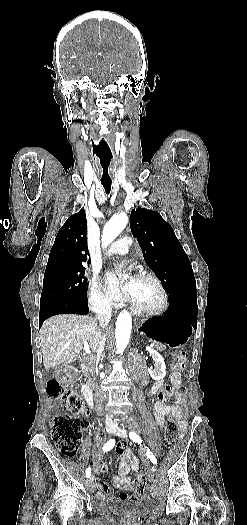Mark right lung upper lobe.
Masks as SVG:
<instances>
[{
	"mask_svg": "<svg viewBox=\"0 0 247 525\" xmlns=\"http://www.w3.org/2000/svg\"><path fill=\"white\" fill-rule=\"evenodd\" d=\"M86 231L87 221L84 210L70 216L58 231L49 254L46 271L83 267V263L89 257Z\"/></svg>",
	"mask_w": 247,
	"mask_h": 525,
	"instance_id": "cb5924a9",
	"label": "right lung upper lobe"
}]
</instances>
